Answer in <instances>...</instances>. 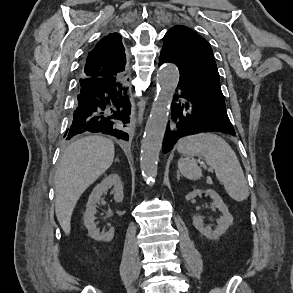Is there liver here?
Returning <instances> with one entry per match:
<instances>
[{"label": "liver", "mask_w": 293, "mask_h": 293, "mask_svg": "<svg viewBox=\"0 0 293 293\" xmlns=\"http://www.w3.org/2000/svg\"><path fill=\"white\" fill-rule=\"evenodd\" d=\"M114 144L102 136H87L71 143L65 150L55 174V213L69 235L73 210L84 191L114 160Z\"/></svg>", "instance_id": "1"}]
</instances>
